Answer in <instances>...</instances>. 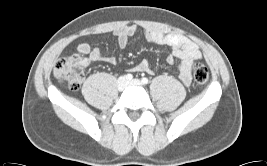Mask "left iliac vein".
<instances>
[{"instance_id": "1", "label": "left iliac vein", "mask_w": 267, "mask_h": 166, "mask_svg": "<svg viewBox=\"0 0 267 166\" xmlns=\"http://www.w3.org/2000/svg\"><path fill=\"white\" fill-rule=\"evenodd\" d=\"M133 83H134V84H137L138 82L135 80V81H133Z\"/></svg>"}]
</instances>
